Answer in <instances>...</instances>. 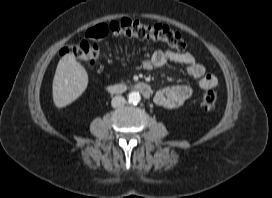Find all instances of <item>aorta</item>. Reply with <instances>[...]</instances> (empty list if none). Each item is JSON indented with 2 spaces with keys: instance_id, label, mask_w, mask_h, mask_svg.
<instances>
[{
  "instance_id": "aorta-1",
  "label": "aorta",
  "mask_w": 272,
  "mask_h": 198,
  "mask_svg": "<svg viewBox=\"0 0 272 198\" xmlns=\"http://www.w3.org/2000/svg\"><path fill=\"white\" fill-rule=\"evenodd\" d=\"M141 100V96L138 92L132 91L128 94V101L131 104H137Z\"/></svg>"
}]
</instances>
